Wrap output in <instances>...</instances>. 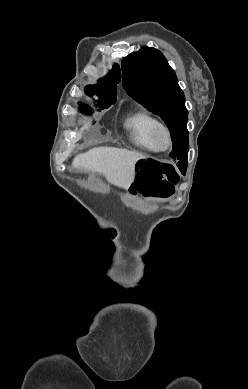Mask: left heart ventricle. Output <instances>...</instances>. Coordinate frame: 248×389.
<instances>
[{
	"label": "left heart ventricle",
	"instance_id": "left-heart-ventricle-1",
	"mask_svg": "<svg viewBox=\"0 0 248 389\" xmlns=\"http://www.w3.org/2000/svg\"><path fill=\"white\" fill-rule=\"evenodd\" d=\"M158 142H161V139H160V138H158Z\"/></svg>",
	"mask_w": 248,
	"mask_h": 389
}]
</instances>
